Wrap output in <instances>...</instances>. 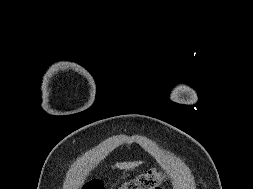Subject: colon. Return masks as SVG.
<instances>
[{
	"label": "colon",
	"mask_w": 253,
	"mask_h": 189,
	"mask_svg": "<svg viewBox=\"0 0 253 189\" xmlns=\"http://www.w3.org/2000/svg\"><path fill=\"white\" fill-rule=\"evenodd\" d=\"M164 180L165 175L161 171L150 170L125 182L118 189H161ZM83 189H103V183L99 179H92L84 185Z\"/></svg>",
	"instance_id": "5ec220e1"
}]
</instances>
